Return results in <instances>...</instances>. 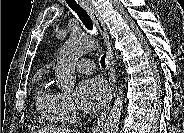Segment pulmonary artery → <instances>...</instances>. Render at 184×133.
Returning <instances> with one entry per match:
<instances>
[{"label": "pulmonary artery", "mask_w": 184, "mask_h": 133, "mask_svg": "<svg viewBox=\"0 0 184 133\" xmlns=\"http://www.w3.org/2000/svg\"><path fill=\"white\" fill-rule=\"evenodd\" d=\"M76 67L80 73L84 74H90L94 71V63L89 59H81Z\"/></svg>", "instance_id": "pulmonary-artery-1"}]
</instances>
